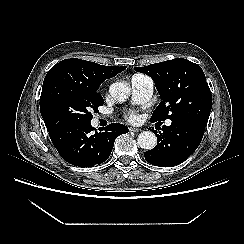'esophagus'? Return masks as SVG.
Masks as SVG:
<instances>
[{"label": "esophagus", "instance_id": "1", "mask_svg": "<svg viewBox=\"0 0 244 244\" xmlns=\"http://www.w3.org/2000/svg\"><path fill=\"white\" fill-rule=\"evenodd\" d=\"M129 131H130V132H139L140 129H138V128H134V127H130V128H129Z\"/></svg>", "mask_w": 244, "mask_h": 244}]
</instances>
